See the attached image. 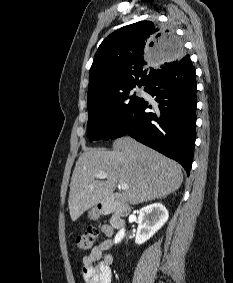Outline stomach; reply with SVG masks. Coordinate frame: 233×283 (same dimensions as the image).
Masks as SVG:
<instances>
[{"label":"stomach","mask_w":233,"mask_h":283,"mask_svg":"<svg viewBox=\"0 0 233 283\" xmlns=\"http://www.w3.org/2000/svg\"><path fill=\"white\" fill-rule=\"evenodd\" d=\"M100 210L98 208H93L90 212H89V216L92 218V219H95L99 216L100 214Z\"/></svg>","instance_id":"stomach-1"}]
</instances>
